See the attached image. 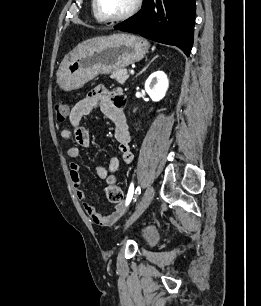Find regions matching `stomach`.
Listing matches in <instances>:
<instances>
[{"mask_svg":"<svg viewBox=\"0 0 261 306\" xmlns=\"http://www.w3.org/2000/svg\"><path fill=\"white\" fill-rule=\"evenodd\" d=\"M149 43L142 37L115 33L72 51L61 63L57 83L65 91L79 89L100 74H109L140 61Z\"/></svg>","mask_w":261,"mask_h":306,"instance_id":"1","label":"stomach"}]
</instances>
